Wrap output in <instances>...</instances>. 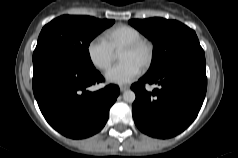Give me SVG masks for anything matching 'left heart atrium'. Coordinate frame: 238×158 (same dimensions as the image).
I'll list each match as a JSON object with an SVG mask.
<instances>
[{
    "label": "left heart atrium",
    "mask_w": 238,
    "mask_h": 158,
    "mask_svg": "<svg viewBox=\"0 0 238 158\" xmlns=\"http://www.w3.org/2000/svg\"><path fill=\"white\" fill-rule=\"evenodd\" d=\"M141 71V66L133 61H121L109 68L105 74L108 82L114 84H127L133 81Z\"/></svg>",
    "instance_id": "39dd6f15"
}]
</instances>
